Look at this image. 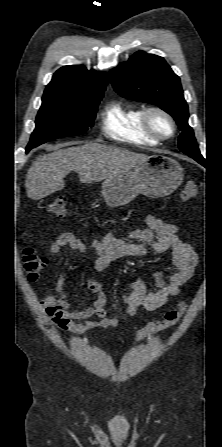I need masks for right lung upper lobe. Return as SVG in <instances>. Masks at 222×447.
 <instances>
[{
	"label": "right lung upper lobe",
	"instance_id": "cb5924a9",
	"mask_svg": "<svg viewBox=\"0 0 222 447\" xmlns=\"http://www.w3.org/2000/svg\"><path fill=\"white\" fill-rule=\"evenodd\" d=\"M107 75L95 70L88 71L84 66H64L47 85L46 92H62L74 96L103 95Z\"/></svg>",
	"mask_w": 222,
	"mask_h": 447
}]
</instances>
